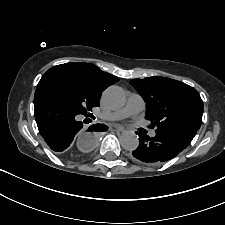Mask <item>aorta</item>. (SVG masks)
Here are the masks:
<instances>
[{
  "mask_svg": "<svg viewBox=\"0 0 225 225\" xmlns=\"http://www.w3.org/2000/svg\"><path fill=\"white\" fill-rule=\"evenodd\" d=\"M103 99L111 109H118L125 105L126 95L124 90L118 86H111L104 91ZM120 142L125 150H135L139 145L138 136L133 131H124L121 134Z\"/></svg>",
  "mask_w": 225,
  "mask_h": 225,
  "instance_id": "762f6f07",
  "label": "aorta"
}]
</instances>
